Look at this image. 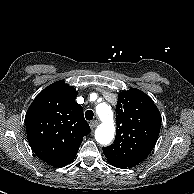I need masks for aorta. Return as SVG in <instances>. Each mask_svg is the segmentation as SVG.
I'll use <instances>...</instances> for the list:
<instances>
[{
	"instance_id": "obj_1",
	"label": "aorta",
	"mask_w": 194,
	"mask_h": 194,
	"mask_svg": "<svg viewBox=\"0 0 194 194\" xmlns=\"http://www.w3.org/2000/svg\"><path fill=\"white\" fill-rule=\"evenodd\" d=\"M96 113L102 123L95 130V139L101 145H108L115 133L112 109L106 103H100L96 107Z\"/></svg>"
}]
</instances>
